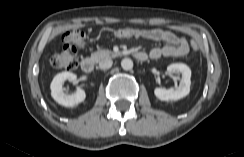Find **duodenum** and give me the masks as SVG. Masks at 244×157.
Masks as SVG:
<instances>
[{
  "mask_svg": "<svg viewBox=\"0 0 244 157\" xmlns=\"http://www.w3.org/2000/svg\"><path fill=\"white\" fill-rule=\"evenodd\" d=\"M135 58L139 61H145L147 59V54L144 52H136L134 54ZM80 67L82 69L83 72L90 74L94 71L95 69V61L93 58L90 57H84L81 61H80Z\"/></svg>",
  "mask_w": 244,
  "mask_h": 157,
  "instance_id": "duodenum-1",
  "label": "duodenum"
}]
</instances>
